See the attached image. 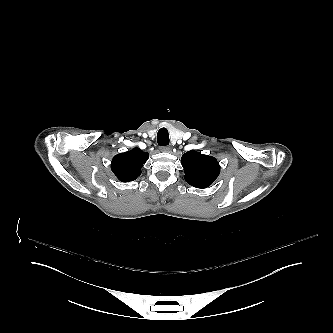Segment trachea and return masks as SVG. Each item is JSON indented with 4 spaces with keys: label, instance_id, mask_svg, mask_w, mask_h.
Returning <instances> with one entry per match:
<instances>
[{
    "label": "trachea",
    "instance_id": "obj_1",
    "mask_svg": "<svg viewBox=\"0 0 333 333\" xmlns=\"http://www.w3.org/2000/svg\"><path fill=\"white\" fill-rule=\"evenodd\" d=\"M157 142L159 146H167L169 145V134L166 128L159 129L157 133Z\"/></svg>",
    "mask_w": 333,
    "mask_h": 333
}]
</instances>
